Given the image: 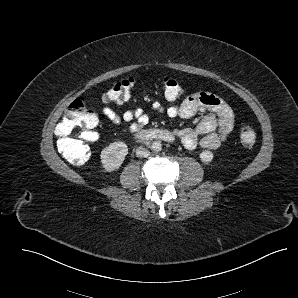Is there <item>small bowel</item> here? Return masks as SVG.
<instances>
[{
	"instance_id": "obj_1",
	"label": "small bowel",
	"mask_w": 298,
	"mask_h": 298,
	"mask_svg": "<svg viewBox=\"0 0 298 298\" xmlns=\"http://www.w3.org/2000/svg\"><path fill=\"white\" fill-rule=\"evenodd\" d=\"M152 111L170 118L189 119L198 113H205L200 123L194 128L176 130L174 135L186 149L197 146L205 149H217L230 138L234 129V114L229 105L216 95L196 92L188 95L178 105L164 106L160 101L150 103ZM104 116L114 124L126 123L132 133L139 132L150 122L149 114L143 108H135L118 113L105 106Z\"/></svg>"
}]
</instances>
